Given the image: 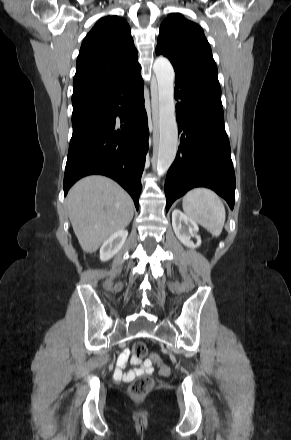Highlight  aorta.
I'll return each mask as SVG.
<instances>
[{
  "label": "aorta",
  "instance_id": "aorta-1",
  "mask_svg": "<svg viewBox=\"0 0 291 440\" xmlns=\"http://www.w3.org/2000/svg\"><path fill=\"white\" fill-rule=\"evenodd\" d=\"M153 70L158 83V127L157 172L164 174L172 165L178 147V127L174 104V69L165 57L156 58Z\"/></svg>",
  "mask_w": 291,
  "mask_h": 440
}]
</instances>
